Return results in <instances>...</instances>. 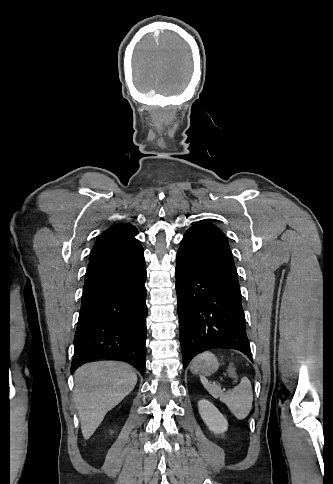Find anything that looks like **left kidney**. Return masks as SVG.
Wrapping results in <instances>:
<instances>
[{
	"label": "left kidney",
	"mask_w": 333,
	"mask_h": 484,
	"mask_svg": "<svg viewBox=\"0 0 333 484\" xmlns=\"http://www.w3.org/2000/svg\"><path fill=\"white\" fill-rule=\"evenodd\" d=\"M198 409L210 431L215 434H221L228 429L227 420L211 402L206 399L200 400L198 402Z\"/></svg>",
	"instance_id": "left-kidney-1"
}]
</instances>
